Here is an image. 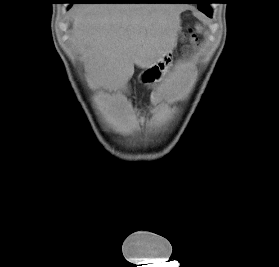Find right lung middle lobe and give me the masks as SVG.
Masks as SVG:
<instances>
[{
	"mask_svg": "<svg viewBox=\"0 0 279 267\" xmlns=\"http://www.w3.org/2000/svg\"><path fill=\"white\" fill-rule=\"evenodd\" d=\"M123 2H133V1H138V0H121Z\"/></svg>",
	"mask_w": 279,
	"mask_h": 267,
	"instance_id": "right-lung-middle-lobe-1",
	"label": "right lung middle lobe"
}]
</instances>
